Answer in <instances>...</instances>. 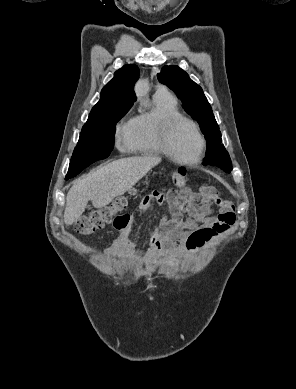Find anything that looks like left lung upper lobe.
Here are the masks:
<instances>
[{"mask_svg": "<svg viewBox=\"0 0 296 389\" xmlns=\"http://www.w3.org/2000/svg\"><path fill=\"white\" fill-rule=\"evenodd\" d=\"M159 81L172 89L181 99L185 111L200 125L207 140L203 165L217 166L227 173L232 170L230 156L221 144V133L212 108L202 88L178 66H164L157 75Z\"/></svg>", "mask_w": 296, "mask_h": 389, "instance_id": "1", "label": "left lung upper lobe"}]
</instances>
